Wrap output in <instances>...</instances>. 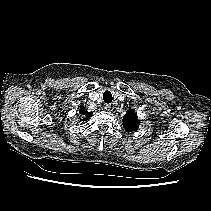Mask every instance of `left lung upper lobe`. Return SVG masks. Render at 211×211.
I'll return each instance as SVG.
<instances>
[{
	"label": "left lung upper lobe",
	"mask_w": 211,
	"mask_h": 211,
	"mask_svg": "<svg viewBox=\"0 0 211 211\" xmlns=\"http://www.w3.org/2000/svg\"><path fill=\"white\" fill-rule=\"evenodd\" d=\"M140 120L134 110H128L123 117V126L127 132H134L138 129Z\"/></svg>",
	"instance_id": "obj_1"
}]
</instances>
